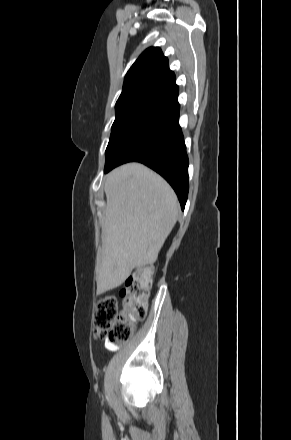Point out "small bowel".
I'll list each match as a JSON object with an SVG mask.
<instances>
[{
    "instance_id": "small-bowel-1",
    "label": "small bowel",
    "mask_w": 291,
    "mask_h": 440,
    "mask_svg": "<svg viewBox=\"0 0 291 440\" xmlns=\"http://www.w3.org/2000/svg\"><path fill=\"white\" fill-rule=\"evenodd\" d=\"M105 347L109 351H116L118 349V346L116 344L110 342L109 340L105 341Z\"/></svg>"
}]
</instances>
